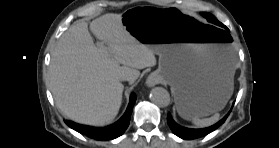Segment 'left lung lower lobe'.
Instances as JSON below:
<instances>
[{
    "instance_id": "1",
    "label": "left lung lower lobe",
    "mask_w": 279,
    "mask_h": 148,
    "mask_svg": "<svg viewBox=\"0 0 279 148\" xmlns=\"http://www.w3.org/2000/svg\"><path fill=\"white\" fill-rule=\"evenodd\" d=\"M230 112H231V110L222 120H220L215 125L210 126L208 128H204V129H189V128L179 126L178 124H176L174 122L170 113H168L167 122L175 135H177L178 137H180L182 139L191 140V139L203 137V136L209 134L210 132L214 131L215 129H217L226 120V118L228 117Z\"/></svg>"
}]
</instances>
